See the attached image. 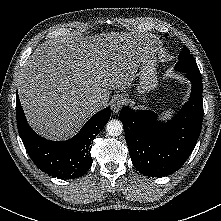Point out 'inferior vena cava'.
Here are the masks:
<instances>
[{
  "label": "inferior vena cava",
  "instance_id": "obj_1",
  "mask_svg": "<svg viewBox=\"0 0 221 221\" xmlns=\"http://www.w3.org/2000/svg\"><path fill=\"white\" fill-rule=\"evenodd\" d=\"M90 105L92 107L98 108L102 105V102L99 98H96V99L90 100Z\"/></svg>",
  "mask_w": 221,
  "mask_h": 221
}]
</instances>
